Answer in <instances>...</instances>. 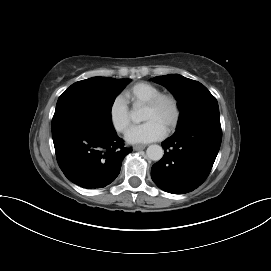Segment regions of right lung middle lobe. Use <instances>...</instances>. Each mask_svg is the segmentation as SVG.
Wrapping results in <instances>:
<instances>
[{"label": "right lung middle lobe", "mask_w": 271, "mask_h": 271, "mask_svg": "<svg viewBox=\"0 0 271 271\" xmlns=\"http://www.w3.org/2000/svg\"><path fill=\"white\" fill-rule=\"evenodd\" d=\"M130 79L93 77L72 84L58 99L52 119V135L88 122L112 126L111 108Z\"/></svg>", "instance_id": "dd1d6c3e"}]
</instances>
